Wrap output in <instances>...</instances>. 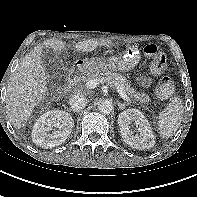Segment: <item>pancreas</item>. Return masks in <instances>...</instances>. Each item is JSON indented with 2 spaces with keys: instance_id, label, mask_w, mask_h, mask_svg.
Returning a JSON list of instances; mask_svg holds the SVG:
<instances>
[{
  "instance_id": "pancreas-1",
  "label": "pancreas",
  "mask_w": 197,
  "mask_h": 197,
  "mask_svg": "<svg viewBox=\"0 0 197 197\" xmlns=\"http://www.w3.org/2000/svg\"><path fill=\"white\" fill-rule=\"evenodd\" d=\"M93 79L97 80L100 83L108 82L110 84L119 85L130 98H133L140 103H148L150 101V98L147 94L143 92H137L134 88L131 87L126 77L119 73L104 70L90 72L82 78L84 82H88L89 80Z\"/></svg>"
}]
</instances>
